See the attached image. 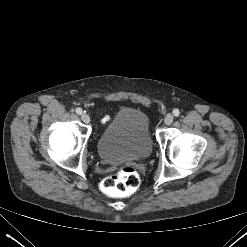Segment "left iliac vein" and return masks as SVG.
<instances>
[{
    "label": "left iliac vein",
    "instance_id": "obj_1",
    "mask_svg": "<svg viewBox=\"0 0 247 247\" xmlns=\"http://www.w3.org/2000/svg\"><path fill=\"white\" fill-rule=\"evenodd\" d=\"M173 119H174L173 115L169 113L165 116L164 123L166 125H170L173 122Z\"/></svg>",
    "mask_w": 247,
    "mask_h": 247
}]
</instances>
